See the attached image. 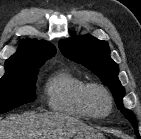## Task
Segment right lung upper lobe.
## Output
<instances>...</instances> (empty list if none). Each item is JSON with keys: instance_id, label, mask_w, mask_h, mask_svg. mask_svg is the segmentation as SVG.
<instances>
[{"instance_id": "cb5924a9", "label": "right lung upper lobe", "mask_w": 141, "mask_h": 139, "mask_svg": "<svg viewBox=\"0 0 141 139\" xmlns=\"http://www.w3.org/2000/svg\"><path fill=\"white\" fill-rule=\"evenodd\" d=\"M56 53L55 47L43 40L23 41L17 52L5 62V69L24 66H42L44 62Z\"/></svg>"}]
</instances>
